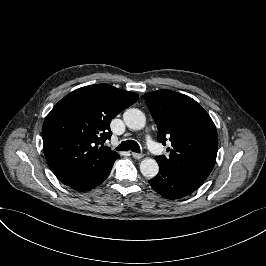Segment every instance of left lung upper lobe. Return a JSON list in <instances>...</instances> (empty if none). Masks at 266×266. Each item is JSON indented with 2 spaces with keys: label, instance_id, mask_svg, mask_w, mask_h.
<instances>
[{
  "label": "left lung upper lobe",
  "instance_id": "left-lung-upper-lobe-1",
  "mask_svg": "<svg viewBox=\"0 0 266 266\" xmlns=\"http://www.w3.org/2000/svg\"><path fill=\"white\" fill-rule=\"evenodd\" d=\"M146 104L157 124L158 141L169 157H155L181 173L203 182L212 171L218 150L216 127L207 112L192 98L170 90L144 94Z\"/></svg>",
  "mask_w": 266,
  "mask_h": 266
}]
</instances>
